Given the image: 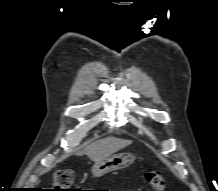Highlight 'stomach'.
Wrapping results in <instances>:
<instances>
[{"mask_svg": "<svg viewBox=\"0 0 218 191\" xmlns=\"http://www.w3.org/2000/svg\"><path fill=\"white\" fill-rule=\"evenodd\" d=\"M135 160V157L129 153L115 154L106 159L95 162L92 172L96 177L103 176L111 171L124 169L130 166Z\"/></svg>", "mask_w": 218, "mask_h": 191, "instance_id": "stomach-1", "label": "stomach"}]
</instances>
